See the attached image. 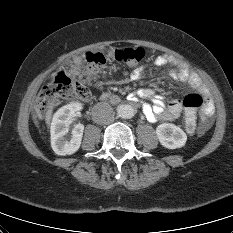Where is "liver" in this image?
Here are the masks:
<instances>
[{
	"label": "liver",
	"mask_w": 233,
	"mask_h": 233,
	"mask_svg": "<svg viewBox=\"0 0 233 233\" xmlns=\"http://www.w3.org/2000/svg\"><path fill=\"white\" fill-rule=\"evenodd\" d=\"M51 116H52V107H50V108L47 110L46 116H45V121H46V124H47L48 126L50 125Z\"/></svg>",
	"instance_id": "liver-1"
}]
</instances>
